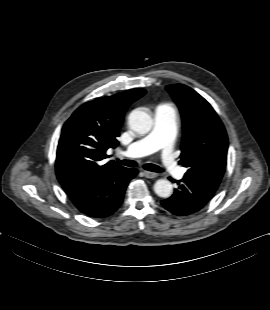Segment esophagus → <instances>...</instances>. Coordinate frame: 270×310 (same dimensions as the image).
I'll list each match as a JSON object with an SVG mask.
<instances>
[{"mask_svg": "<svg viewBox=\"0 0 270 310\" xmlns=\"http://www.w3.org/2000/svg\"><path fill=\"white\" fill-rule=\"evenodd\" d=\"M143 173L146 178H150V179L156 178L158 176L157 173L150 172V171H144Z\"/></svg>", "mask_w": 270, "mask_h": 310, "instance_id": "34e87169", "label": "esophagus"}]
</instances>
